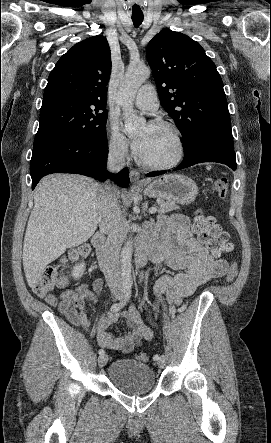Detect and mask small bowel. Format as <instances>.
Masks as SVG:
<instances>
[{
	"label": "small bowel",
	"mask_w": 271,
	"mask_h": 443,
	"mask_svg": "<svg viewBox=\"0 0 271 443\" xmlns=\"http://www.w3.org/2000/svg\"><path fill=\"white\" fill-rule=\"evenodd\" d=\"M153 257L156 262L164 263L175 271L174 274L164 275L158 280L155 292L159 297L176 304L191 295L197 287L223 276L228 269L226 260L210 253L193 237L189 221L182 215L173 216L163 226L160 244ZM93 286L96 295L103 292L100 279H96ZM96 295L84 283L74 289L64 290L59 301L53 296H48L46 301L57 307L72 324L89 330L86 302H96ZM121 319L125 320L128 330L124 335L116 337L110 332V328ZM152 325V321L144 322L138 310L131 307L123 313H107L100 319L94 333L102 348L129 353L143 340L152 338Z\"/></svg>",
	"instance_id": "obj_1"
}]
</instances>
